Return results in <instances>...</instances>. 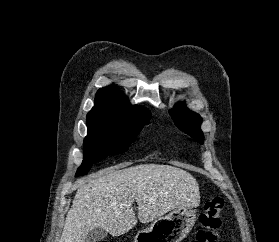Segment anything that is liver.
Returning <instances> with one entry per match:
<instances>
[{
    "mask_svg": "<svg viewBox=\"0 0 279 242\" xmlns=\"http://www.w3.org/2000/svg\"><path fill=\"white\" fill-rule=\"evenodd\" d=\"M121 164L80 180L59 242H85L100 227L119 236L137 224L148 223L177 207H198L199 186L187 171L169 165Z\"/></svg>",
    "mask_w": 279,
    "mask_h": 242,
    "instance_id": "obj_1",
    "label": "liver"
}]
</instances>
